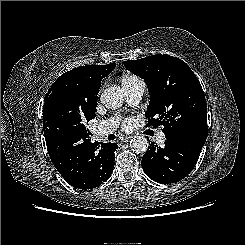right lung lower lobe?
<instances>
[{
  "label": "right lung lower lobe",
  "instance_id": "98d812e1",
  "mask_svg": "<svg viewBox=\"0 0 245 245\" xmlns=\"http://www.w3.org/2000/svg\"><path fill=\"white\" fill-rule=\"evenodd\" d=\"M51 161L68 184L79 189H92L105 182L115 163V143L90 142L79 144L66 140L46 141Z\"/></svg>",
  "mask_w": 245,
  "mask_h": 245
}]
</instances>
